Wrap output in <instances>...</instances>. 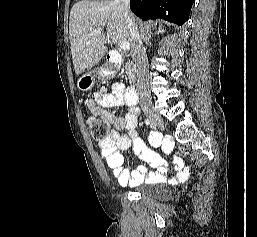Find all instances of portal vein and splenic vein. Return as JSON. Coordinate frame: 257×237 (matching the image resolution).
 I'll use <instances>...</instances> for the list:
<instances>
[{"label":"portal vein and splenic vein","instance_id":"1","mask_svg":"<svg viewBox=\"0 0 257 237\" xmlns=\"http://www.w3.org/2000/svg\"><path fill=\"white\" fill-rule=\"evenodd\" d=\"M99 33H100V31L97 30V29H94V30L91 31L92 35H96V34H99ZM119 47L123 51H127V50L130 49V44L128 42H122V43L119 44Z\"/></svg>","mask_w":257,"mask_h":237}]
</instances>
